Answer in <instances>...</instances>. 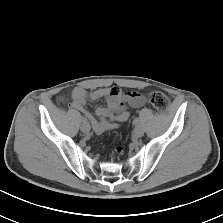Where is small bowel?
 Returning <instances> with one entry per match:
<instances>
[{
  "label": "small bowel",
  "mask_w": 223,
  "mask_h": 223,
  "mask_svg": "<svg viewBox=\"0 0 223 223\" xmlns=\"http://www.w3.org/2000/svg\"><path fill=\"white\" fill-rule=\"evenodd\" d=\"M106 99V106L99 107L96 114L99 120L85 108L87 101ZM128 103L134 108H141L145 105V98L139 92L124 93L117 87L99 88L92 92L85 88L77 87L72 92L71 107L80 111L84 116V121L90 123L96 133H104L120 123L126 121L129 112L125 106Z\"/></svg>",
  "instance_id": "obj_1"
}]
</instances>
